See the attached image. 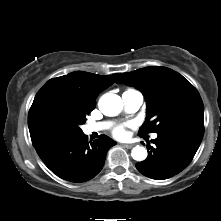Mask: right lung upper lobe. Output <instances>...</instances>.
<instances>
[{
	"label": "right lung upper lobe",
	"instance_id": "1",
	"mask_svg": "<svg viewBox=\"0 0 221 221\" xmlns=\"http://www.w3.org/2000/svg\"><path fill=\"white\" fill-rule=\"evenodd\" d=\"M117 75L103 76L77 71L51 79L36 94L29 114L50 100L68 103L89 114L95 108L99 93L112 85Z\"/></svg>",
	"mask_w": 221,
	"mask_h": 221
}]
</instances>
